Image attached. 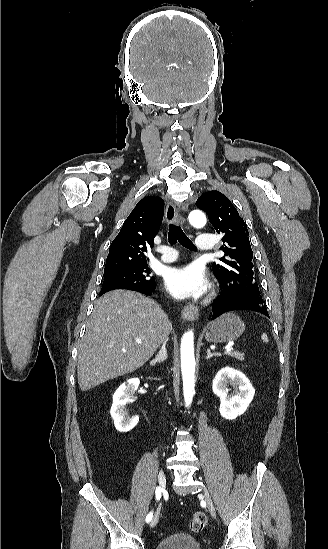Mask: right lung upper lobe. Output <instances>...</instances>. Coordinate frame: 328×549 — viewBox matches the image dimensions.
Segmentation results:
<instances>
[{
	"label": "right lung upper lobe",
	"instance_id": "cb5924a9",
	"mask_svg": "<svg viewBox=\"0 0 328 549\" xmlns=\"http://www.w3.org/2000/svg\"><path fill=\"white\" fill-rule=\"evenodd\" d=\"M164 214V201L145 197L139 201L110 245L104 272L147 264L145 252L152 246Z\"/></svg>",
	"mask_w": 328,
	"mask_h": 549
}]
</instances>
